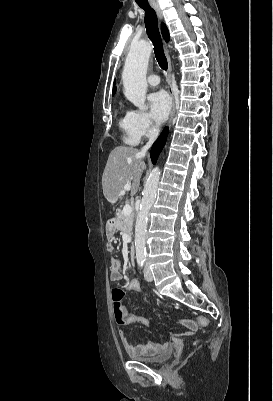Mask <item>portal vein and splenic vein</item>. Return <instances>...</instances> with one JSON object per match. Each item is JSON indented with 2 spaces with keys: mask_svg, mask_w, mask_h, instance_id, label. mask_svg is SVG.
<instances>
[{
  "mask_svg": "<svg viewBox=\"0 0 273 401\" xmlns=\"http://www.w3.org/2000/svg\"><path fill=\"white\" fill-rule=\"evenodd\" d=\"M130 188H131L130 184H125L124 190H120V194H125L126 190H130ZM122 213L123 215H126V217H128V215H131L132 209L130 205H125V207H123Z\"/></svg>",
  "mask_w": 273,
  "mask_h": 401,
  "instance_id": "portal-vein-and-splenic-vein-1",
  "label": "portal vein and splenic vein"
}]
</instances>
